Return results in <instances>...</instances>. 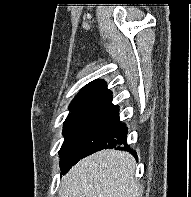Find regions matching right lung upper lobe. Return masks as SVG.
I'll list each match as a JSON object with an SVG mask.
<instances>
[{
    "label": "right lung upper lobe",
    "instance_id": "cb5924a9",
    "mask_svg": "<svg viewBox=\"0 0 191 197\" xmlns=\"http://www.w3.org/2000/svg\"><path fill=\"white\" fill-rule=\"evenodd\" d=\"M111 94L112 92L107 89L106 82L104 80H94L81 89L69 105V110L72 112L77 110L93 109Z\"/></svg>",
    "mask_w": 191,
    "mask_h": 197
}]
</instances>
